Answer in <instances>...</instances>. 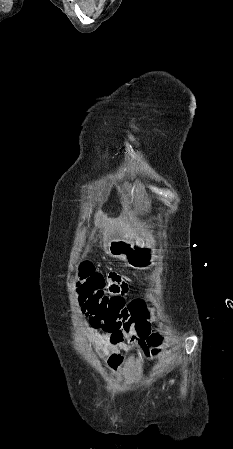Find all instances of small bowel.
<instances>
[{"instance_id": "small-bowel-1", "label": "small bowel", "mask_w": 233, "mask_h": 449, "mask_svg": "<svg viewBox=\"0 0 233 449\" xmlns=\"http://www.w3.org/2000/svg\"><path fill=\"white\" fill-rule=\"evenodd\" d=\"M107 281L105 282V287L103 288L108 295L121 296L123 301L128 291L131 289L132 281L126 278L124 274H121L120 270H107L106 272ZM110 297L112 301L114 298ZM147 310V309H144ZM148 319H150L152 313ZM81 326L86 337V341L90 348H92L100 358L104 359L108 367L115 371L125 362V355L122 354H132L133 347L139 356L143 360H149L152 358V354L148 349H141L139 346L138 337L140 334H125L123 328H93L90 321V317L81 320ZM151 334V333H150ZM150 334H147L150 339ZM129 339L130 343H126L125 340ZM150 345L151 342L148 340Z\"/></svg>"}]
</instances>
